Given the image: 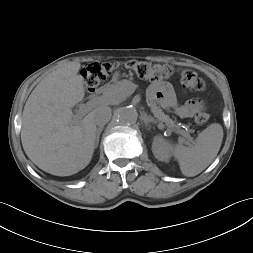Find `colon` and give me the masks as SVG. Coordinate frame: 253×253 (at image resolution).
Returning <instances> with one entry per match:
<instances>
[{"instance_id":"colon-1","label":"colon","mask_w":253,"mask_h":253,"mask_svg":"<svg viewBox=\"0 0 253 253\" xmlns=\"http://www.w3.org/2000/svg\"><path fill=\"white\" fill-rule=\"evenodd\" d=\"M120 66V63L97 62L83 68L81 74L87 91L93 92L101 82L105 81ZM123 67L134 71L140 78L152 81L168 79L178 75L182 85L191 92H201L206 87L204 79L190 69L177 70L168 64H153L139 60L126 61L123 63ZM208 119L209 114L204 109L198 110L193 116V120L197 125L205 124Z\"/></svg>"}]
</instances>
